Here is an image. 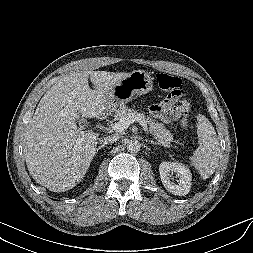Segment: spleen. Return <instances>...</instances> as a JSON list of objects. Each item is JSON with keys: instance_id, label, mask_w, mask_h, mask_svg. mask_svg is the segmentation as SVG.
Segmentation results:
<instances>
[{"instance_id": "spleen-1", "label": "spleen", "mask_w": 253, "mask_h": 253, "mask_svg": "<svg viewBox=\"0 0 253 253\" xmlns=\"http://www.w3.org/2000/svg\"><path fill=\"white\" fill-rule=\"evenodd\" d=\"M198 148L190 158L191 165L203 179L209 178L219 163L220 147L213 125L204 116H197Z\"/></svg>"}]
</instances>
